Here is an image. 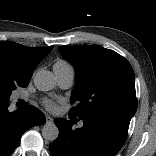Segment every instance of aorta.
Listing matches in <instances>:
<instances>
[{
  "mask_svg": "<svg viewBox=\"0 0 156 156\" xmlns=\"http://www.w3.org/2000/svg\"><path fill=\"white\" fill-rule=\"evenodd\" d=\"M34 85L39 91H49L54 88V76L51 72L43 70L34 75ZM59 135L58 127L52 123H46L42 128V136L45 140L53 142Z\"/></svg>",
  "mask_w": 156,
  "mask_h": 156,
  "instance_id": "762f6f07",
  "label": "aorta"
}]
</instances>
